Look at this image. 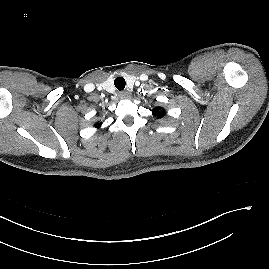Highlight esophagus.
<instances>
[{
    "label": "esophagus",
    "instance_id": "34e87169",
    "mask_svg": "<svg viewBox=\"0 0 269 269\" xmlns=\"http://www.w3.org/2000/svg\"><path fill=\"white\" fill-rule=\"evenodd\" d=\"M130 97H131V93H129L128 91H124V92L119 93L120 99H128Z\"/></svg>",
    "mask_w": 269,
    "mask_h": 269
}]
</instances>
